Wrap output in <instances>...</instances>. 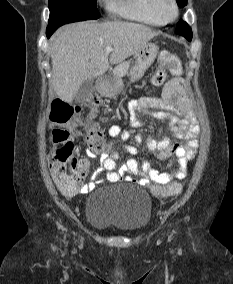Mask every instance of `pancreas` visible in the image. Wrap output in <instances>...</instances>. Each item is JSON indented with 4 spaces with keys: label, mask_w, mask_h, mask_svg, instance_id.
Segmentation results:
<instances>
[{
    "label": "pancreas",
    "mask_w": 233,
    "mask_h": 284,
    "mask_svg": "<svg viewBox=\"0 0 233 284\" xmlns=\"http://www.w3.org/2000/svg\"><path fill=\"white\" fill-rule=\"evenodd\" d=\"M129 65H130V62L121 63L119 66L116 67L115 72L119 76H124V75L127 74V71L129 69Z\"/></svg>",
    "instance_id": "1"
}]
</instances>
